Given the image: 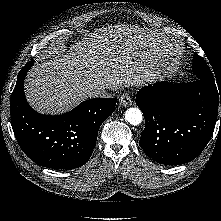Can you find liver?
I'll list each match as a JSON object with an SVG mask.
<instances>
[{
	"instance_id": "obj_1",
	"label": "liver",
	"mask_w": 221,
	"mask_h": 221,
	"mask_svg": "<svg viewBox=\"0 0 221 221\" xmlns=\"http://www.w3.org/2000/svg\"><path fill=\"white\" fill-rule=\"evenodd\" d=\"M173 55L153 31L124 24L105 27L68 49L43 55L26 78V98L39 113L60 114L95 88L117 90L154 81L161 68L170 67Z\"/></svg>"
}]
</instances>
